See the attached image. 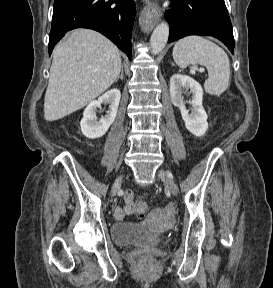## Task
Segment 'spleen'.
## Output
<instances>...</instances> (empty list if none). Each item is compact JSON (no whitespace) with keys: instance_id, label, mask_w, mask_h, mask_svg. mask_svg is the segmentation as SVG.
<instances>
[{"instance_id":"spleen-1","label":"spleen","mask_w":273,"mask_h":288,"mask_svg":"<svg viewBox=\"0 0 273 288\" xmlns=\"http://www.w3.org/2000/svg\"><path fill=\"white\" fill-rule=\"evenodd\" d=\"M173 59L180 68L200 64L207 68L204 83L210 95H220L228 87L230 63L225 51L214 42L200 36H188L179 40L173 48Z\"/></svg>"}]
</instances>
